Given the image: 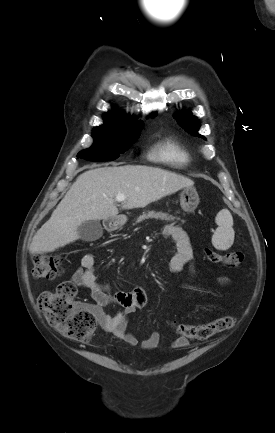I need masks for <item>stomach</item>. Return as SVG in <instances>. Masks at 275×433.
Instances as JSON below:
<instances>
[{
  "mask_svg": "<svg viewBox=\"0 0 275 433\" xmlns=\"http://www.w3.org/2000/svg\"><path fill=\"white\" fill-rule=\"evenodd\" d=\"M199 204V196L195 188H185L180 194V205L184 212L192 213ZM127 221L126 216L110 218L107 224L108 229L114 230L123 226Z\"/></svg>",
  "mask_w": 275,
  "mask_h": 433,
  "instance_id": "1",
  "label": "stomach"
}]
</instances>
